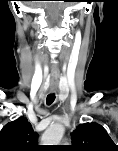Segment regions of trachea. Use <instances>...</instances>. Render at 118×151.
Masks as SVG:
<instances>
[{
    "mask_svg": "<svg viewBox=\"0 0 118 151\" xmlns=\"http://www.w3.org/2000/svg\"><path fill=\"white\" fill-rule=\"evenodd\" d=\"M55 100V94H49L46 98L47 105H51Z\"/></svg>",
    "mask_w": 118,
    "mask_h": 151,
    "instance_id": "1",
    "label": "trachea"
}]
</instances>
